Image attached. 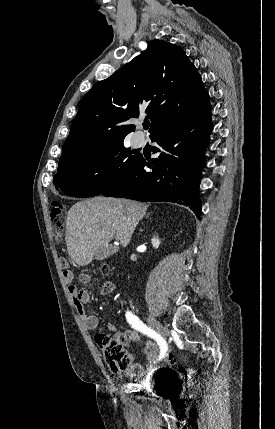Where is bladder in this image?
<instances>
[{"label": "bladder", "mask_w": 275, "mask_h": 429, "mask_svg": "<svg viewBox=\"0 0 275 429\" xmlns=\"http://www.w3.org/2000/svg\"><path fill=\"white\" fill-rule=\"evenodd\" d=\"M153 383L155 386H166L168 383V380L166 377H155L153 380ZM152 396L153 398H171L172 390L171 389H153Z\"/></svg>", "instance_id": "1"}]
</instances>
